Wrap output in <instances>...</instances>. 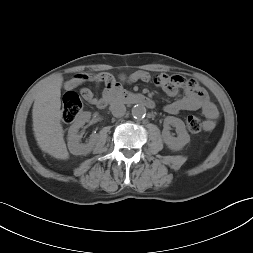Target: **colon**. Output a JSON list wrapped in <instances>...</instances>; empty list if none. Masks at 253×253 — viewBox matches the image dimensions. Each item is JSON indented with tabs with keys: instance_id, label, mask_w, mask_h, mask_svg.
Returning a JSON list of instances; mask_svg holds the SVG:
<instances>
[{
	"instance_id": "colon-1",
	"label": "colon",
	"mask_w": 253,
	"mask_h": 253,
	"mask_svg": "<svg viewBox=\"0 0 253 253\" xmlns=\"http://www.w3.org/2000/svg\"><path fill=\"white\" fill-rule=\"evenodd\" d=\"M82 110L83 102L79 95L73 91H68L63 97L62 119L64 122H73ZM186 124L188 130L192 133H199L205 129V121L195 115L188 116Z\"/></svg>"
}]
</instances>
